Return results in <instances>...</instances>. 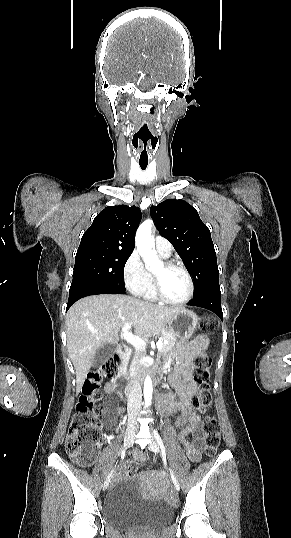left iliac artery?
<instances>
[{"mask_svg": "<svg viewBox=\"0 0 291 538\" xmlns=\"http://www.w3.org/2000/svg\"><path fill=\"white\" fill-rule=\"evenodd\" d=\"M153 433L155 435V438H156L158 444L160 445L162 453H165V447H164V444H163V441H162L160 435L158 434V432L156 430H153Z\"/></svg>", "mask_w": 291, "mask_h": 538, "instance_id": "left-iliac-artery-1", "label": "left iliac artery"}]
</instances>
